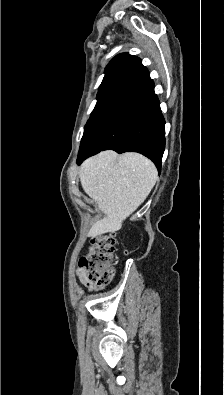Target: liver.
Returning a JSON list of instances; mask_svg holds the SVG:
<instances>
[{
  "instance_id": "obj_1",
  "label": "liver",
  "mask_w": 224,
  "mask_h": 395,
  "mask_svg": "<svg viewBox=\"0 0 224 395\" xmlns=\"http://www.w3.org/2000/svg\"><path fill=\"white\" fill-rule=\"evenodd\" d=\"M82 188L105 214L94 223L89 237L121 229L129 217L147 198L158 173L155 165L138 153L118 155L108 150L88 158L80 168Z\"/></svg>"
}]
</instances>
